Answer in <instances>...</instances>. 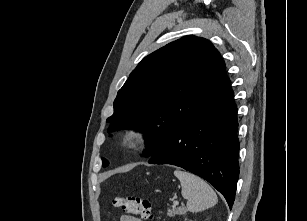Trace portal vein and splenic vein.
Instances as JSON below:
<instances>
[{
    "label": "portal vein and splenic vein",
    "mask_w": 307,
    "mask_h": 221,
    "mask_svg": "<svg viewBox=\"0 0 307 221\" xmlns=\"http://www.w3.org/2000/svg\"><path fill=\"white\" fill-rule=\"evenodd\" d=\"M173 205H174V206H178V205H179V202H178V201H174V202H173Z\"/></svg>",
    "instance_id": "obj_1"
}]
</instances>
